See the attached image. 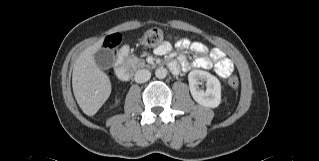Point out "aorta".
I'll return each instance as SVG.
<instances>
[{"label": "aorta", "mask_w": 319, "mask_h": 161, "mask_svg": "<svg viewBox=\"0 0 319 161\" xmlns=\"http://www.w3.org/2000/svg\"><path fill=\"white\" fill-rule=\"evenodd\" d=\"M155 76L158 79H164L167 76V70L163 67H160V68L156 69Z\"/></svg>", "instance_id": "aorta-1"}]
</instances>
